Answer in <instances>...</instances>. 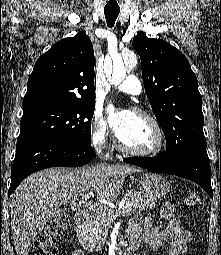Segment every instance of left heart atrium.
Masks as SVG:
<instances>
[{
    "instance_id": "39dd6f15",
    "label": "left heart atrium",
    "mask_w": 221,
    "mask_h": 255,
    "mask_svg": "<svg viewBox=\"0 0 221 255\" xmlns=\"http://www.w3.org/2000/svg\"><path fill=\"white\" fill-rule=\"evenodd\" d=\"M109 117L113 130L118 133L127 123L129 112L110 110Z\"/></svg>"
}]
</instances>
